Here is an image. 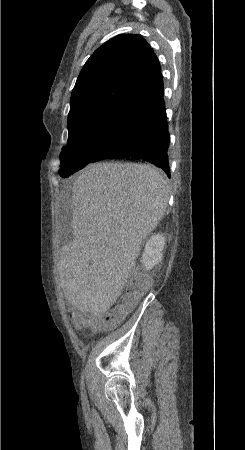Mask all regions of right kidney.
I'll return each mask as SVG.
<instances>
[{"instance_id":"ca27d5eb","label":"right kidney","mask_w":245,"mask_h":450,"mask_svg":"<svg viewBox=\"0 0 245 450\" xmlns=\"http://www.w3.org/2000/svg\"><path fill=\"white\" fill-rule=\"evenodd\" d=\"M164 246L165 239L163 234L153 235L147 241L141 259V263L143 264L145 270H151L162 260Z\"/></svg>"}]
</instances>
